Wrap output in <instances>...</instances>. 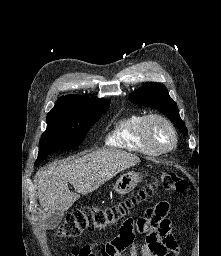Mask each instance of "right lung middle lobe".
Segmentation results:
<instances>
[{
  "label": "right lung middle lobe",
  "mask_w": 221,
  "mask_h": 256,
  "mask_svg": "<svg viewBox=\"0 0 221 256\" xmlns=\"http://www.w3.org/2000/svg\"><path fill=\"white\" fill-rule=\"evenodd\" d=\"M109 104V100H97L79 107L76 112L48 114L47 129L40 139L35 165L56 150L79 146L90 127L108 110Z\"/></svg>",
  "instance_id": "obj_1"
}]
</instances>
